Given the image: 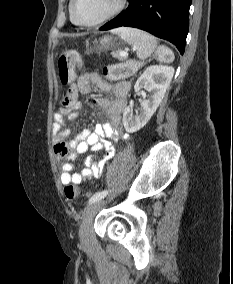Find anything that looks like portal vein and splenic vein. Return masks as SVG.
I'll use <instances>...</instances> for the list:
<instances>
[{
	"label": "portal vein and splenic vein",
	"mask_w": 233,
	"mask_h": 284,
	"mask_svg": "<svg viewBox=\"0 0 233 284\" xmlns=\"http://www.w3.org/2000/svg\"><path fill=\"white\" fill-rule=\"evenodd\" d=\"M120 56H122V57H127V56H128V53L124 52V53H122Z\"/></svg>",
	"instance_id": "18ae733b"
}]
</instances>
